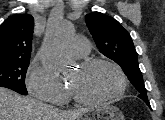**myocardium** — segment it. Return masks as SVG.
<instances>
[{
  "instance_id": "1",
  "label": "myocardium",
  "mask_w": 165,
  "mask_h": 120,
  "mask_svg": "<svg viewBox=\"0 0 165 120\" xmlns=\"http://www.w3.org/2000/svg\"><path fill=\"white\" fill-rule=\"evenodd\" d=\"M99 64L108 65L116 71L120 80V86L118 90L114 92L113 94L103 97V98L90 99V98H86L82 96L74 87L69 86L70 93L72 97L75 99V101L81 104H87V105L103 104V103L114 101L115 99L121 97L125 93L126 88H127V78L123 69L116 62L107 58L97 57V58H91V59H87L83 61L80 64L79 68H81L82 70H86Z\"/></svg>"
}]
</instances>
